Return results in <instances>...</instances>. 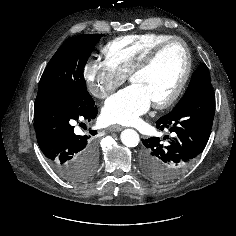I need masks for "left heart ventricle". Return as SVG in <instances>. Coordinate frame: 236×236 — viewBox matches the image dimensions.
<instances>
[{
    "label": "left heart ventricle",
    "instance_id": "b2bd125f",
    "mask_svg": "<svg viewBox=\"0 0 236 236\" xmlns=\"http://www.w3.org/2000/svg\"><path fill=\"white\" fill-rule=\"evenodd\" d=\"M185 55L180 44L166 47L147 70L132 77L133 84L141 85L152 102L166 98L183 75Z\"/></svg>",
    "mask_w": 236,
    "mask_h": 236
}]
</instances>
